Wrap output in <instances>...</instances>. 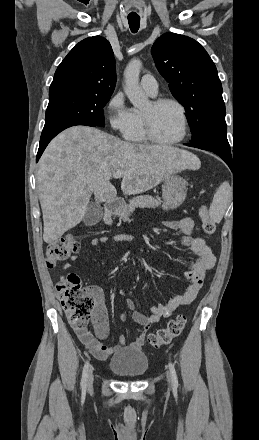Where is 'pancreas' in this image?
Returning a JSON list of instances; mask_svg holds the SVG:
<instances>
[{"mask_svg": "<svg viewBox=\"0 0 259 440\" xmlns=\"http://www.w3.org/2000/svg\"><path fill=\"white\" fill-rule=\"evenodd\" d=\"M161 205V200L150 195H141L129 200V205H125L122 217L127 218L135 208H156ZM106 224H112L111 217L105 220Z\"/></svg>", "mask_w": 259, "mask_h": 440, "instance_id": "cf45deb5", "label": "pancreas"}]
</instances>
